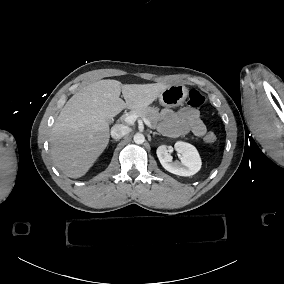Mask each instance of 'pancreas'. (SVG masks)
<instances>
[{"instance_id": "1", "label": "pancreas", "mask_w": 284, "mask_h": 284, "mask_svg": "<svg viewBox=\"0 0 284 284\" xmlns=\"http://www.w3.org/2000/svg\"><path fill=\"white\" fill-rule=\"evenodd\" d=\"M136 114L141 118H146L150 121L151 123V128H156L159 120H160V114L157 108H152V107H143V108H137V109H132L128 115ZM123 117H126L124 115Z\"/></svg>"}]
</instances>
